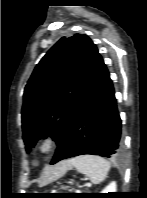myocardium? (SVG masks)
<instances>
[{
  "mask_svg": "<svg viewBox=\"0 0 147 198\" xmlns=\"http://www.w3.org/2000/svg\"><path fill=\"white\" fill-rule=\"evenodd\" d=\"M57 146V139L52 134L41 136L35 143V150L42 156L51 154Z\"/></svg>",
  "mask_w": 147,
  "mask_h": 198,
  "instance_id": "f54148a6",
  "label": "myocardium"
}]
</instances>
